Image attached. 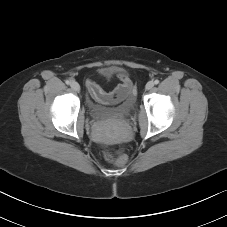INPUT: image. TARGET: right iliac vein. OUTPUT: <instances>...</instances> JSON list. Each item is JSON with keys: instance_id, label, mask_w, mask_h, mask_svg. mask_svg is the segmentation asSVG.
<instances>
[{"instance_id": "right-iliac-vein-1", "label": "right iliac vein", "mask_w": 227, "mask_h": 227, "mask_svg": "<svg viewBox=\"0 0 227 227\" xmlns=\"http://www.w3.org/2000/svg\"><path fill=\"white\" fill-rule=\"evenodd\" d=\"M70 86L74 91H77V92L80 91V85L76 81H72L70 83Z\"/></svg>"}]
</instances>
